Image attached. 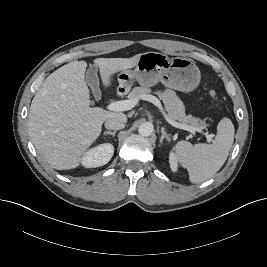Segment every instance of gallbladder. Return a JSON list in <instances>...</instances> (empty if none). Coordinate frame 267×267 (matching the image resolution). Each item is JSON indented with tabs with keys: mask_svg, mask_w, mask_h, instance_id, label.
I'll list each match as a JSON object with an SVG mask.
<instances>
[{
	"mask_svg": "<svg viewBox=\"0 0 267 267\" xmlns=\"http://www.w3.org/2000/svg\"><path fill=\"white\" fill-rule=\"evenodd\" d=\"M86 81L89 84V86L91 87L94 96L96 97V99H100L101 98V91L99 89V78L97 76V69L94 66H91L86 74Z\"/></svg>",
	"mask_w": 267,
	"mask_h": 267,
	"instance_id": "obj_1",
	"label": "gallbladder"
}]
</instances>
